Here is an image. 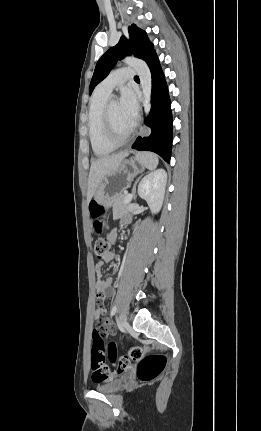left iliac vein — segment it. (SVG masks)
Instances as JSON below:
<instances>
[{"mask_svg": "<svg viewBox=\"0 0 261 431\" xmlns=\"http://www.w3.org/2000/svg\"><path fill=\"white\" fill-rule=\"evenodd\" d=\"M118 323L120 327H124L127 323V314L125 311H122L119 314Z\"/></svg>", "mask_w": 261, "mask_h": 431, "instance_id": "4c4485c4", "label": "left iliac vein"}]
</instances>
